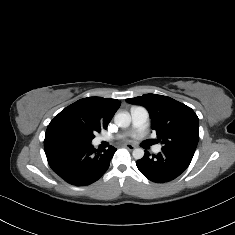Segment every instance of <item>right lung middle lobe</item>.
<instances>
[{
  "label": "right lung middle lobe",
  "instance_id": "obj_1",
  "mask_svg": "<svg viewBox=\"0 0 235 235\" xmlns=\"http://www.w3.org/2000/svg\"><path fill=\"white\" fill-rule=\"evenodd\" d=\"M97 127L84 124L77 121H70L65 123L61 132L70 140H79L83 142H91V140L95 137V132H100Z\"/></svg>",
  "mask_w": 235,
  "mask_h": 235
}]
</instances>
